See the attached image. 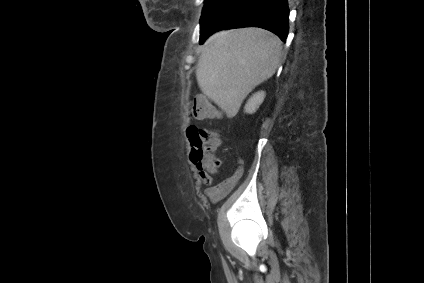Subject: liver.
I'll list each match as a JSON object with an SVG mask.
<instances>
[{"label": "liver", "instance_id": "obj_1", "mask_svg": "<svg viewBox=\"0 0 424 283\" xmlns=\"http://www.w3.org/2000/svg\"><path fill=\"white\" fill-rule=\"evenodd\" d=\"M281 50L279 37L262 28L217 32L203 46L196 70L198 85L232 118L247 95L273 76Z\"/></svg>", "mask_w": 424, "mask_h": 283}]
</instances>
